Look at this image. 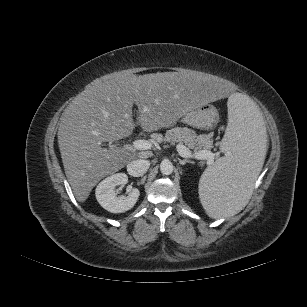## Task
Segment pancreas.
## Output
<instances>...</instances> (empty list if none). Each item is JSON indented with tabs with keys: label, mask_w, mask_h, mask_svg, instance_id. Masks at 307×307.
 I'll list each match as a JSON object with an SVG mask.
<instances>
[{
	"label": "pancreas",
	"mask_w": 307,
	"mask_h": 307,
	"mask_svg": "<svg viewBox=\"0 0 307 307\" xmlns=\"http://www.w3.org/2000/svg\"><path fill=\"white\" fill-rule=\"evenodd\" d=\"M155 140L157 142H170L171 144H184L188 149L198 152L207 150L211 147V143L207 141L205 135H197L195 131L188 127H174L167 130L165 135L156 134Z\"/></svg>",
	"instance_id": "1"
}]
</instances>
